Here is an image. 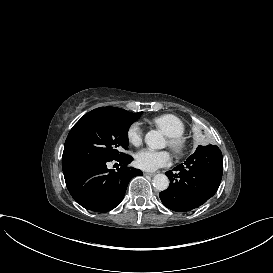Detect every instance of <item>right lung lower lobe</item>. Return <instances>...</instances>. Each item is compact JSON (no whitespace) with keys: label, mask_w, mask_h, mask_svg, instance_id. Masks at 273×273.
Here are the masks:
<instances>
[{"label":"right lung lower lobe","mask_w":273,"mask_h":273,"mask_svg":"<svg viewBox=\"0 0 273 273\" xmlns=\"http://www.w3.org/2000/svg\"><path fill=\"white\" fill-rule=\"evenodd\" d=\"M133 158L123 155L114 160H85L63 168L66 186L71 196L82 207L95 212H108L122 201L129 181L140 170L127 167ZM116 161L121 165L117 171L107 168Z\"/></svg>","instance_id":"1"}]
</instances>
